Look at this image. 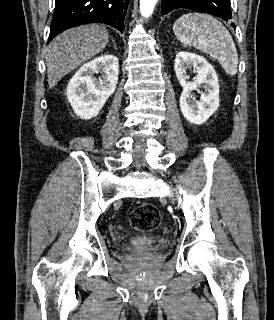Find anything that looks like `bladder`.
Instances as JSON below:
<instances>
[{
	"instance_id": "31cf9c89",
	"label": "bladder",
	"mask_w": 274,
	"mask_h": 320,
	"mask_svg": "<svg viewBox=\"0 0 274 320\" xmlns=\"http://www.w3.org/2000/svg\"><path fill=\"white\" fill-rule=\"evenodd\" d=\"M148 238L146 237H132L130 239V244L134 247H141V246H145L148 243Z\"/></svg>"
}]
</instances>
